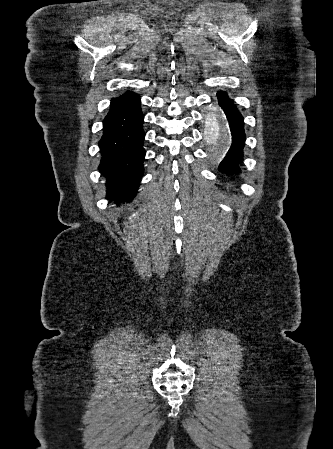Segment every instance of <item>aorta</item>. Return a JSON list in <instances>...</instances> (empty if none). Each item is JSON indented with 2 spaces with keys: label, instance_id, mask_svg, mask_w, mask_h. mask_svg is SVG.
<instances>
[{
  "label": "aorta",
  "instance_id": "1",
  "mask_svg": "<svg viewBox=\"0 0 333 449\" xmlns=\"http://www.w3.org/2000/svg\"><path fill=\"white\" fill-rule=\"evenodd\" d=\"M209 125L212 127L206 134L207 143L217 151L223 152L230 142V134L226 127L223 115L218 110H213L208 115ZM218 126L217 130L215 127Z\"/></svg>",
  "mask_w": 333,
  "mask_h": 449
}]
</instances>
